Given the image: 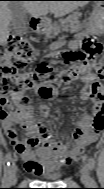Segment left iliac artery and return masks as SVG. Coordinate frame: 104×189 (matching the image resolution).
<instances>
[{
	"label": "left iliac artery",
	"instance_id": "1",
	"mask_svg": "<svg viewBox=\"0 0 104 189\" xmlns=\"http://www.w3.org/2000/svg\"><path fill=\"white\" fill-rule=\"evenodd\" d=\"M88 166H89V169H90L91 171H93L94 166H95V160H94L92 157H90V158L88 159ZM95 185H96V182L92 179L91 186H95Z\"/></svg>",
	"mask_w": 104,
	"mask_h": 189
}]
</instances>
